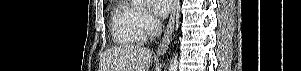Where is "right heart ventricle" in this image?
Listing matches in <instances>:
<instances>
[{
  "instance_id": "e07e8e85",
  "label": "right heart ventricle",
  "mask_w": 301,
  "mask_h": 71,
  "mask_svg": "<svg viewBox=\"0 0 301 71\" xmlns=\"http://www.w3.org/2000/svg\"><path fill=\"white\" fill-rule=\"evenodd\" d=\"M140 12L127 1L114 7L110 29L114 42L124 46L142 44L147 39L139 18Z\"/></svg>"
}]
</instances>
